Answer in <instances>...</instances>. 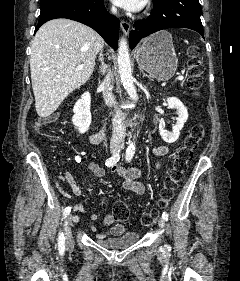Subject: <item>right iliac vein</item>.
<instances>
[{
    "label": "right iliac vein",
    "mask_w": 240,
    "mask_h": 281,
    "mask_svg": "<svg viewBox=\"0 0 240 281\" xmlns=\"http://www.w3.org/2000/svg\"><path fill=\"white\" fill-rule=\"evenodd\" d=\"M117 147H111V152L116 153ZM71 226H72V214H69L64 223V235H65V241L67 247H71L74 243L72 232H71Z\"/></svg>",
    "instance_id": "right-iliac-vein-1"
}]
</instances>
